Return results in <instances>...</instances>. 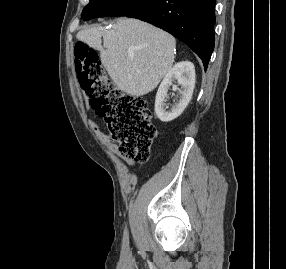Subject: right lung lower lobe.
Listing matches in <instances>:
<instances>
[{
  "label": "right lung lower lobe",
  "instance_id": "1",
  "mask_svg": "<svg viewBox=\"0 0 286 269\" xmlns=\"http://www.w3.org/2000/svg\"><path fill=\"white\" fill-rule=\"evenodd\" d=\"M127 17L151 23L177 37L207 69L215 41V0H151Z\"/></svg>",
  "mask_w": 286,
  "mask_h": 269
}]
</instances>
